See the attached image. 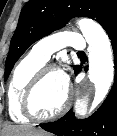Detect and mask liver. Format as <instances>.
Segmentation results:
<instances>
[{"instance_id":"liver-1","label":"liver","mask_w":117,"mask_h":136,"mask_svg":"<svg viewBox=\"0 0 117 136\" xmlns=\"http://www.w3.org/2000/svg\"><path fill=\"white\" fill-rule=\"evenodd\" d=\"M5 136H46L44 131L37 130L31 126H7L5 128Z\"/></svg>"}]
</instances>
